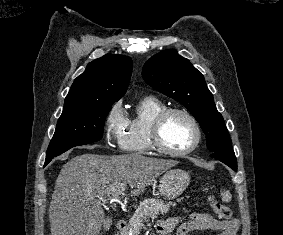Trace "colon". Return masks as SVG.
<instances>
[{"label": "colon", "instance_id": "1", "mask_svg": "<svg viewBox=\"0 0 283 235\" xmlns=\"http://www.w3.org/2000/svg\"><path fill=\"white\" fill-rule=\"evenodd\" d=\"M208 201H209V204H210V206H211L213 212H214L221 220H223V221H229V220H231V218H232V212H231V209H230L228 206H226V205H224V204L218 202L217 200H215V198H214L212 195H210V196L208 197Z\"/></svg>", "mask_w": 283, "mask_h": 235}]
</instances>
